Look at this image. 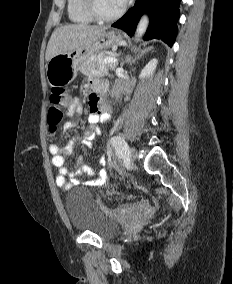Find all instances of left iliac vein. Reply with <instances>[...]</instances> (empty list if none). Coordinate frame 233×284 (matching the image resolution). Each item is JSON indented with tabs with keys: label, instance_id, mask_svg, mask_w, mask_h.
Returning <instances> with one entry per match:
<instances>
[{
	"label": "left iliac vein",
	"instance_id": "left-iliac-vein-1",
	"mask_svg": "<svg viewBox=\"0 0 233 284\" xmlns=\"http://www.w3.org/2000/svg\"><path fill=\"white\" fill-rule=\"evenodd\" d=\"M137 157V153L134 149H130L128 154L124 157L125 163L131 165Z\"/></svg>",
	"mask_w": 233,
	"mask_h": 284
}]
</instances>
